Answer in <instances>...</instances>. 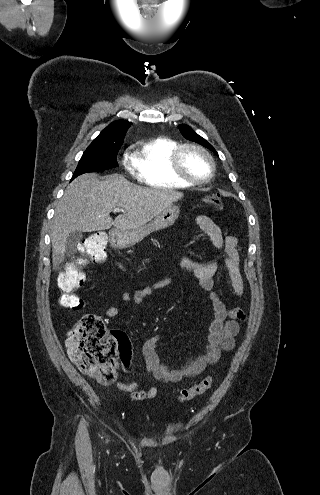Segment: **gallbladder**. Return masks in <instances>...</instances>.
Listing matches in <instances>:
<instances>
[{"label": "gallbladder", "instance_id": "bac80fb5", "mask_svg": "<svg viewBox=\"0 0 320 495\" xmlns=\"http://www.w3.org/2000/svg\"><path fill=\"white\" fill-rule=\"evenodd\" d=\"M82 238L81 231L69 233L66 241V252L68 255H73L76 252V246Z\"/></svg>", "mask_w": 320, "mask_h": 495}]
</instances>
